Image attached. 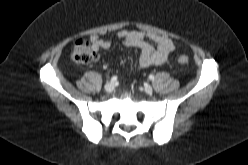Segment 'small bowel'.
Segmentation results:
<instances>
[{"label":"small bowel","mask_w":248,"mask_h":165,"mask_svg":"<svg viewBox=\"0 0 248 165\" xmlns=\"http://www.w3.org/2000/svg\"><path fill=\"white\" fill-rule=\"evenodd\" d=\"M116 37L121 39L126 46L140 50L136 65L138 69L166 64L177 48V43L168 37L139 30H120L116 33ZM88 39L96 50L109 49L112 44L110 39L99 35H90Z\"/></svg>","instance_id":"small-bowel-1"}]
</instances>
